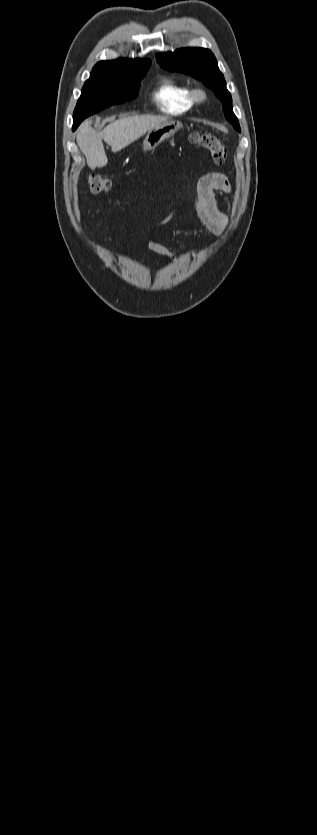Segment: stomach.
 I'll use <instances>...</instances> for the list:
<instances>
[{"instance_id": "1", "label": "stomach", "mask_w": 317, "mask_h": 835, "mask_svg": "<svg viewBox=\"0 0 317 835\" xmlns=\"http://www.w3.org/2000/svg\"><path fill=\"white\" fill-rule=\"evenodd\" d=\"M182 126L181 122L175 120H166L154 126L147 132L143 142L144 151L156 149L162 141L174 135Z\"/></svg>"}]
</instances>
